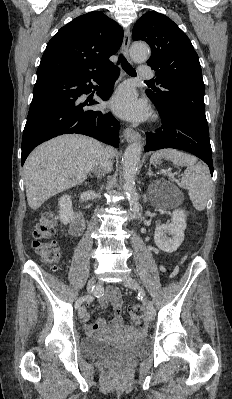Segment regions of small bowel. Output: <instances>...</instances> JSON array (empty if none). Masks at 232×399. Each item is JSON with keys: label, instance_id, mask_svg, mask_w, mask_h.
Segmentation results:
<instances>
[{"label": "small bowel", "instance_id": "c3829d8e", "mask_svg": "<svg viewBox=\"0 0 232 399\" xmlns=\"http://www.w3.org/2000/svg\"><path fill=\"white\" fill-rule=\"evenodd\" d=\"M111 300L115 301V318L112 322L107 323L103 318H99L95 323L84 322L81 324V328L86 331L88 340L91 343L95 342V340L101 337L109 338L115 332L126 333L131 329L128 324L123 323L121 320L122 304L120 301L119 290L115 288H109L106 295L101 299V305L105 307ZM79 312L85 319H89V314L85 306H80Z\"/></svg>", "mask_w": 232, "mask_h": 399}]
</instances>
